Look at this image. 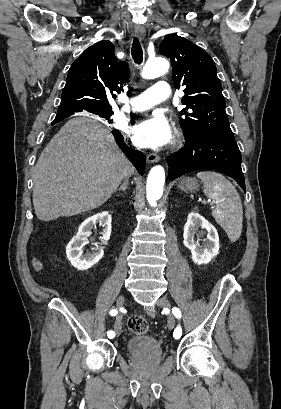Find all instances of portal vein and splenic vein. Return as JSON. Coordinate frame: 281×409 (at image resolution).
I'll list each match as a JSON object with an SVG mask.
<instances>
[{
  "label": "portal vein and splenic vein",
  "mask_w": 281,
  "mask_h": 409,
  "mask_svg": "<svg viewBox=\"0 0 281 409\" xmlns=\"http://www.w3.org/2000/svg\"><path fill=\"white\" fill-rule=\"evenodd\" d=\"M203 200H204L203 197H200V198H199V201H200V202H203ZM208 200H211V198H208Z\"/></svg>",
  "instance_id": "portal-vein-and-splenic-vein-1"
}]
</instances>
